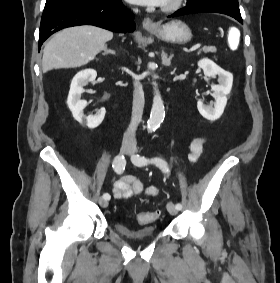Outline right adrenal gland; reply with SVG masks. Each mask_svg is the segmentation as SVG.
Masks as SVG:
<instances>
[{"mask_svg":"<svg viewBox=\"0 0 280 283\" xmlns=\"http://www.w3.org/2000/svg\"><path fill=\"white\" fill-rule=\"evenodd\" d=\"M108 54L116 55L114 50L108 49L107 46H105L103 55H108Z\"/></svg>","mask_w":280,"mask_h":283,"instance_id":"right-adrenal-gland-1","label":"right adrenal gland"}]
</instances>
